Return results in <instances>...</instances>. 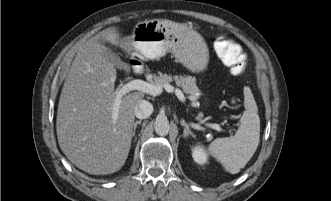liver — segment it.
<instances>
[{
  "label": "liver",
  "mask_w": 331,
  "mask_h": 201,
  "mask_svg": "<svg viewBox=\"0 0 331 201\" xmlns=\"http://www.w3.org/2000/svg\"><path fill=\"white\" fill-rule=\"evenodd\" d=\"M104 43L124 47L115 27H109L79 47L65 79L57 110L56 131L65 156L93 175L119 171L131 146L134 110L144 92L124 95L118 120H112L116 98L115 66L103 56Z\"/></svg>",
  "instance_id": "obj_1"
}]
</instances>
